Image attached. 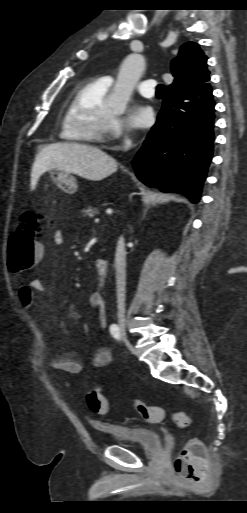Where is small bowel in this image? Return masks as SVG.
Masks as SVG:
<instances>
[{
  "instance_id": "c3829d8e",
  "label": "small bowel",
  "mask_w": 247,
  "mask_h": 513,
  "mask_svg": "<svg viewBox=\"0 0 247 513\" xmlns=\"http://www.w3.org/2000/svg\"><path fill=\"white\" fill-rule=\"evenodd\" d=\"M53 243L55 246H60L64 242V234L61 230H56L53 234ZM41 250L42 245H41ZM48 294V289L45 287L41 279L34 278L27 285L21 286L18 290L20 302L25 306H31L33 303L34 293ZM88 305L96 312V319L101 328H104L107 323V314L103 296L100 292L93 291L87 297ZM45 355L47 351V341L44 340ZM112 362V354L107 347L98 348L92 356V365L95 368H104ZM48 364L56 370H61L69 373H79L83 370L82 362L71 353H54L48 359Z\"/></svg>"
}]
</instances>
